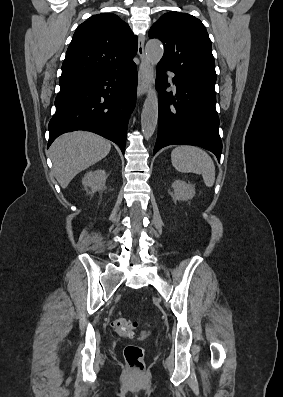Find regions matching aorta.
Returning a JSON list of instances; mask_svg holds the SVG:
<instances>
[{"mask_svg": "<svg viewBox=\"0 0 283 397\" xmlns=\"http://www.w3.org/2000/svg\"><path fill=\"white\" fill-rule=\"evenodd\" d=\"M163 45L159 40L152 39L146 43L145 53L148 61L154 66L163 56ZM158 121V96L155 89L150 88L141 113V128L146 139L154 134Z\"/></svg>", "mask_w": 283, "mask_h": 397, "instance_id": "1", "label": "aorta"}]
</instances>
